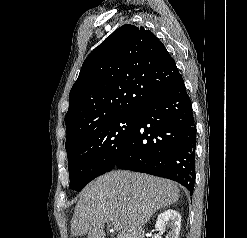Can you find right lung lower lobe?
<instances>
[{
  "label": "right lung lower lobe",
  "mask_w": 247,
  "mask_h": 238,
  "mask_svg": "<svg viewBox=\"0 0 247 238\" xmlns=\"http://www.w3.org/2000/svg\"><path fill=\"white\" fill-rule=\"evenodd\" d=\"M196 130L183 78L137 112V123L114 167L177 181L193 193Z\"/></svg>",
  "instance_id": "1"
}]
</instances>
